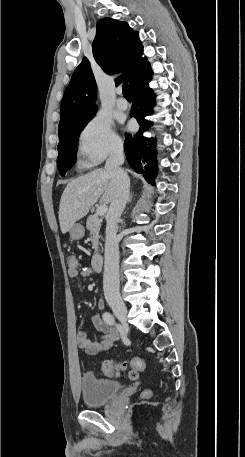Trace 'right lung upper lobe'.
Instances as JSON below:
<instances>
[{"label":"right lung upper lobe","instance_id":"right-lung-upper-lobe-1","mask_svg":"<svg viewBox=\"0 0 245 457\" xmlns=\"http://www.w3.org/2000/svg\"><path fill=\"white\" fill-rule=\"evenodd\" d=\"M96 28L92 43L94 59L108 74L123 72L116 82L126 81L132 87L152 73L149 62L141 56L143 47L138 32L133 31L126 22L102 18ZM95 96L94 75L89 60L84 57L65 90L60 106L59 128L94 115L97 110Z\"/></svg>","mask_w":245,"mask_h":457}]
</instances>
